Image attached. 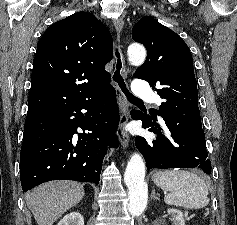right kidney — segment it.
Wrapping results in <instances>:
<instances>
[{
  "instance_id": "obj_1",
  "label": "right kidney",
  "mask_w": 237,
  "mask_h": 225,
  "mask_svg": "<svg viewBox=\"0 0 237 225\" xmlns=\"http://www.w3.org/2000/svg\"><path fill=\"white\" fill-rule=\"evenodd\" d=\"M57 225H84V219L79 212H70L66 214Z\"/></svg>"
}]
</instances>
